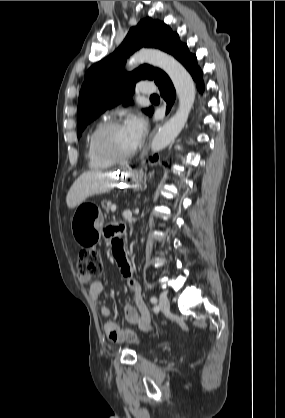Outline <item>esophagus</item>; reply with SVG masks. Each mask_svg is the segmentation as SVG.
I'll use <instances>...</instances> for the list:
<instances>
[{
	"label": "esophagus",
	"mask_w": 285,
	"mask_h": 418,
	"mask_svg": "<svg viewBox=\"0 0 285 418\" xmlns=\"http://www.w3.org/2000/svg\"><path fill=\"white\" fill-rule=\"evenodd\" d=\"M159 126H160V124L159 125H156L154 127V129L151 131V133H150V135H149V137L147 139V142H146V144H145V146H144V148H143V150L141 152L140 160H142L147 155L148 150H149V147H150L151 140H152L153 136L155 135L156 131L158 130Z\"/></svg>",
	"instance_id": "esophagus-1"
}]
</instances>
